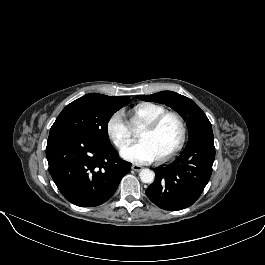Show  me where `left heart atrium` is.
<instances>
[{"label":"left heart atrium","mask_w":265,"mask_h":265,"mask_svg":"<svg viewBox=\"0 0 265 265\" xmlns=\"http://www.w3.org/2000/svg\"><path fill=\"white\" fill-rule=\"evenodd\" d=\"M121 155L126 160L136 163H147L157 159L155 152L146 141H140L124 147Z\"/></svg>","instance_id":"1"}]
</instances>
